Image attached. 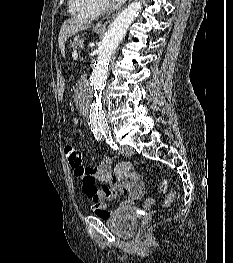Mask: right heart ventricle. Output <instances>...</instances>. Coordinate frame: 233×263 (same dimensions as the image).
<instances>
[{
	"mask_svg": "<svg viewBox=\"0 0 233 263\" xmlns=\"http://www.w3.org/2000/svg\"><path fill=\"white\" fill-rule=\"evenodd\" d=\"M72 15L83 19H94L101 13L99 0H69Z\"/></svg>",
	"mask_w": 233,
	"mask_h": 263,
	"instance_id": "right-heart-ventricle-1",
	"label": "right heart ventricle"
}]
</instances>
